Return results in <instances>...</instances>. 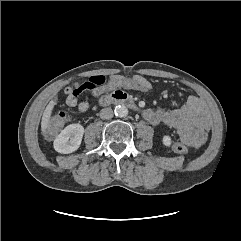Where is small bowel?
I'll list each match as a JSON object with an SVG mask.
<instances>
[{
	"label": "small bowel",
	"mask_w": 241,
	"mask_h": 241,
	"mask_svg": "<svg viewBox=\"0 0 241 241\" xmlns=\"http://www.w3.org/2000/svg\"><path fill=\"white\" fill-rule=\"evenodd\" d=\"M66 103L77 107L81 113L89 109L87 100H78L72 95V86L64 90ZM144 119L152 125H166L177 131L182 143L189 147H200L207 139L210 126L209 115L204 103L196 96H189L182 107L173 111L150 108L143 111Z\"/></svg>",
	"instance_id": "obj_1"
}]
</instances>
